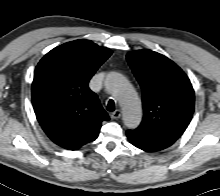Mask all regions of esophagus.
Returning a JSON list of instances; mask_svg holds the SVG:
<instances>
[{"mask_svg":"<svg viewBox=\"0 0 220 196\" xmlns=\"http://www.w3.org/2000/svg\"><path fill=\"white\" fill-rule=\"evenodd\" d=\"M110 117L112 119H119L121 117V111L120 110H116L115 112L110 114Z\"/></svg>","mask_w":220,"mask_h":196,"instance_id":"34e87169","label":"esophagus"}]
</instances>
